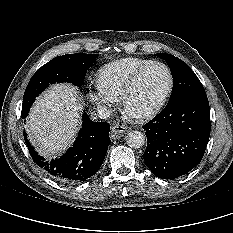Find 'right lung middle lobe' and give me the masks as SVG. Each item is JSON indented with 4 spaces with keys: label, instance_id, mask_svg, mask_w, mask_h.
Here are the masks:
<instances>
[{
    "label": "right lung middle lobe",
    "instance_id": "dd1d6c3e",
    "mask_svg": "<svg viewBox=\"0 0 233 233\" xmlns=\"http://www.w3.org/2000/svg\"><path fill=\"white\" fill-rule=\"evenodd\" d=\"M98 54H67L53 58L30 79L23 97L22 117L28 115L32 103L49 84L69 82L81 86L87 70Z\"/></svg>",
    "mask_w": 233,
    "mask_h": 233
}]
</instances>
